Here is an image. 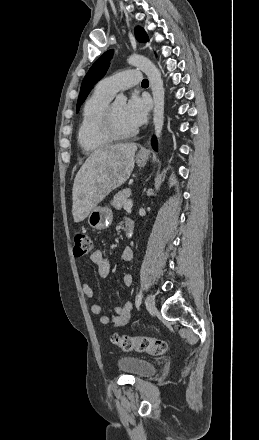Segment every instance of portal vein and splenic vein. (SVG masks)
I'll return each mask as SVG.
<instances>
[{"instance_id":"18ae733b","label":"portal vein and splenic vein","mask_w":259,"mask_h":440,"mask_svg":"<svg viewBox=\"0 0 259 440\" xmlns=\"http://www.w3.org/2000/svg\"><path fill=\"white\" fill-rule=\"evenodd\" d=\"M132 206H133V202L131 200H129L128 202L125 203L124 209L126 211H129V210H131Z\"/></svg>"}]
</instances>
